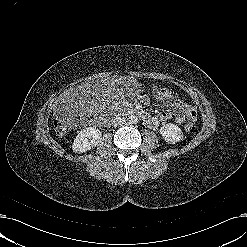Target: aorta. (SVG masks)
Returning a JSON list of instances; mask_svg holds the SVG:
<instances>
[{"label":"aorta","mask_w":247,"mask_h":247,"mask_svg":"<svg viewBox=\"0 0 247 247\" xmlns=\"http://www.w3.org/2000/svg\"><path fill=\"white\" fill-rule=\"evenodd\" d=\"M127 121L131 125L137 124L138 123V117L135 115H131L128 117Z\"/></svg>","instance_id":"1"}]
</instances>
